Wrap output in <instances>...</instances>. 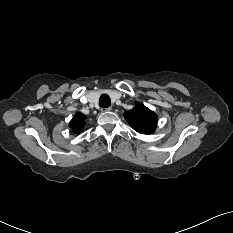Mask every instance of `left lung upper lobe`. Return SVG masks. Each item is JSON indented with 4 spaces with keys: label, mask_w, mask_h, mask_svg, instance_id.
I'll use <instances>...</instances> for the list:
<instances>
[{
    "label": "left lung upper lobe",
    "mask_w": 233,
    "mask_h": 233,
    "mask_svg": "<svg viewBox=\"0 0 233 233\" xmlns=\"http://www.w3.org/2000/svg\"><path fill=\"white\" fill-rule=\"evenodd\" d=\"M124 116L131 127L141 134H151L155 131L157 115L139 102L133 109L126 111Z\"/></svg>",
    "instance_id": "5c2ea615"
}]
</instances>
